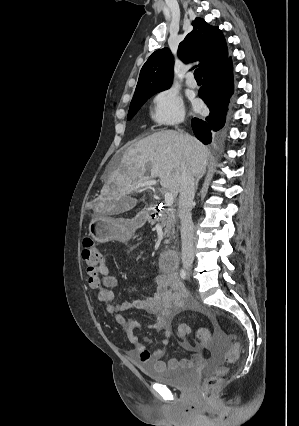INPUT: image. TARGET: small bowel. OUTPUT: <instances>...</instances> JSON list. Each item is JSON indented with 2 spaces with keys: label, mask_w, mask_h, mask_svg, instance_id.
I'll return each instance as SVG.
<instances>
[{
  "label": "small bowel",
  "mask_w": 299,
  "mask_h": 426,
  "mask_svg": "<svg viewBox=\"0 0 299 426\" xmlns=\"http://www.w3.org/2000/svg\"><path fill=\"white\" fill-rule=\"evenodd\" d=\"M97 274L104 290V299L102 302L106 304L109 312L116 314L117 322L125 329L127 337L133 345V348L128 353L131 361L150 362L160 369L167 367L192 368L204 361V351L198 345L188 341L184 343V347L188 351L193 352L190 359L173 358L167 363L162 360L171 337L169 319L185 310H193L212 319L211 314L204 307L197 304L188 294L185 286L179 279L176 268L172 270L162 269V273L155 278V292L153 296L148 298L136 297L132 301H115L113 289L118 286L119 282L110 273L104 254L98 266ZM131 309L142 310L157 315L155 322L147 325L146 328L150 330H163L164 338L160 347L150 350L148 347L149 340L147 338H139L137 335V330L143 328V324L138 320L127 319L121 315L123 312Z\"/></svg>",
  "instance_id": "c3829d8e"
}]
</instances>
